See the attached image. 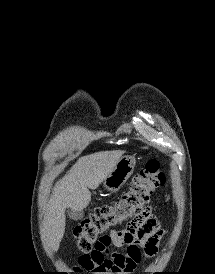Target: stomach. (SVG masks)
I'll return each instance as SVG.
<instances>
[{
  "mask_svg": "<svg viewBox=\"0 0 215 274\" xmlns=\"http://www.w3.org/2000/svg\"><path fill=\"white\" fill-rule=\"evenodd\" d=\"M135 165L136 160L133 156H122L112 172L103 181L107 191H118L133 174Z\"/></svg>",
  "mask_w": 215,
  "mask_h": 274,
  "instance_id": "0dacf381",
  "label": "stomach"
}]
</instances>
